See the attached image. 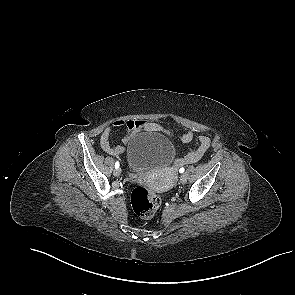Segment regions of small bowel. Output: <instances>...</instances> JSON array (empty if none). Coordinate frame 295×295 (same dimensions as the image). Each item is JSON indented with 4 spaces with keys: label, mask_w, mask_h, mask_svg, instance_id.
<instances>
[{
    "label": "small bowel",
    "mask_w": 295,
    "mask_h": 295,
    "mask_svg": "<svg viewBox=\"0 0 295 295\" xmlns=\"http://www.w3.org/2000/svg\"><path fill=\"white\" fill-rule=\"evenodd\" d=\"M113 127L125 129L126 133L123 138L124 144H127L138 132L151 131L161 132L169 137L174 136L172 128L163 127L158 123L148 120H132V119H117L113 122ZM112 127L107 126L101 133L100 146L101 148L112 156H121L125 149L120 145H112L110 142V136ZM194 138V132L191 129H187L181 136L180 140L183 143H189ZM211 145V138L207 133H203L197 138L196 147L189 151L179 162L182 164H191L198 162L203 155L208 151Z\"/></svg>",
    "instance_id": "1"
}]
</instances>
